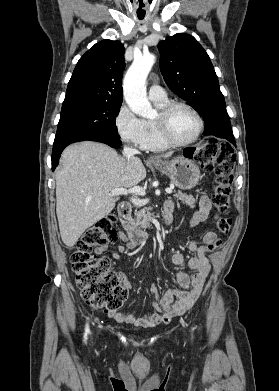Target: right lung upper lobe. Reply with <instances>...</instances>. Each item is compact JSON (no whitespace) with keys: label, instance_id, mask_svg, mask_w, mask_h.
I'll return each mask as SVG.
<instances>
[{"label":"right lung upper lobe","instance_id":"1","mask_svg":"<svg viewBox=\"0 0 279 391\" xmlns=\"http://www.w3.org/2000/svg\"><path fill=\"white\" fill-rule=\"evenodd\" d=\"M124 69L122 43L103 40L95 44L78 61L62 109L92 103L122 104Z\"/></svg>","mask_w":279,"mask_h":391}]
</instances>
